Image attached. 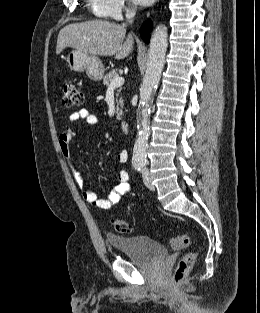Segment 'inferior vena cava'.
<instances>
[{
    "mask_svg": "<svg viewBox=\"0 0 260 313\" xmlns=\"http://www.w3.org/2000/svg\"><path fill=\"white\" fill-rule=\"evenodd\" d=\"M135 16V10L129 11L126 13V18L128 19V21L131 23L132 22V18Z\"/></svg>",
    "mask_w": 260,
    "mask_h": 313,
    "instance_id": "inferior-vena-cava-1",
    "label": "inferior vena cava"
}]
</instances>
